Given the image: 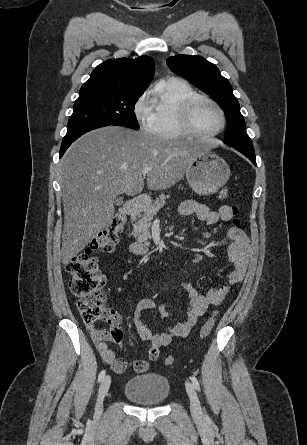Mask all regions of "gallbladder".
Segmentation results:
<instances>
[{"mask_svg": "<svg viewBox=\"0 0 307 445\" xmlns=\"http://www.w3.org/2000/svg\"><path fill=\"white\" fill-rule=\"evenodd\" d=\"M123 203H124V200H123L122 196H117L115 198V203L113 204V207L115 209H118L121 205H123Z\"/></svg>", "mask_w": 307, "mask_h": 445, "instance_id": "gallbladder-1", "label": "gallbladder"}]
</instances>
